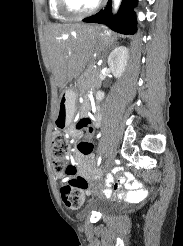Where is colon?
<instances>
[{"instance_id": "colon-1", "label": "colon", "mask_w": 183, "mask_h": 246, "mask_svg": "<svg viewBox=\"0 0 183 246\" xmlns=\"http://www.w3.org/2000/svg\"><path fill=\"white\" fill-rule=\"evenodd\" d=\"M65 123V113H60L58 117V127L61 128ZM78 130H85L84 138H95L97 130L95 125H90L88 118H82L77 124ZM77 152H81L84 157H96L93 142L83 139L77 143ZM53 167L59 176L60 195L64 205L69 209H78L83 203V192L89 190L88 181L79 175L75 166L69 160V146L64 134L56 130L52 137Z\"/></svg>"}]
</instances>
